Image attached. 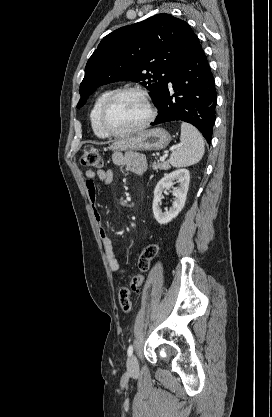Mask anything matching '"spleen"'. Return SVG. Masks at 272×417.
I'll return each mask as SVG.
<instances>
[{"instance_id": "spleen-1", "label": "spleen", "mask_w": 272, "mask_h": 417, "mask_svg": "<svg viewBox=\"0 0 272 417\" xmlns=\"http://www.w3.org/2000/svg\"><path fill=\"white\" fill-rule=\"evenodd\" d=\"M205 151V143L200 132L188 123L181 124L180 147L170 155L173 167H187L198 163Z\"/></svg>"}]
</instances>
